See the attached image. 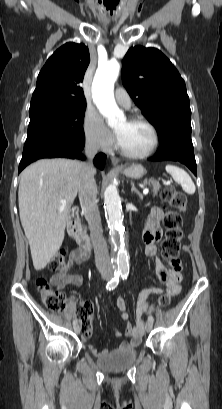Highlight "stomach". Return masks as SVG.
Masks as SVG:
<instances>
[{
    "instance_id": "obj_1",
    "label": "stomach",
    "mask_w": 222,
    "mask_h": 409,
    "mask_svg": "<svg viewBox=\"0 0 222 409\" xmlns=\"http://www.w3.org/2000/svg\"><path fill=\"white\" fill-rule=\"evenodd\" d=\"M122 172L125 176L133 179L141 178L145 174V169L140 164H133L122 168Z\"/></svg>"
}]
</instances>
